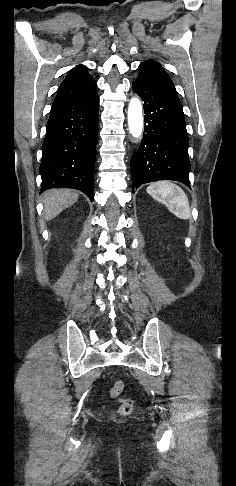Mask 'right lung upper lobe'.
<instances>
[{
	"label": "right lung upper lobe",
	"mask_w": 236,
	"mask_h": 486,
	"mask_svg": "<svg viewBox=\"0 0 236 486\" xmlns=\"http://www.w3.org/2000/svg\"><path fill=\"white\" fill-rule=\"evenodd\" d=\"M97 85L89 76L87 67L78 65L61 83L52 106L83 100L96 93Z\"/></svg>",
	"instance_id": "right-lung-upper-lobe-1"
}]
</instances>
